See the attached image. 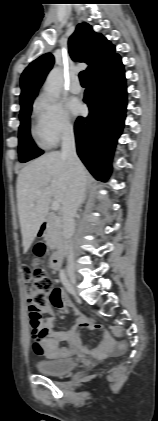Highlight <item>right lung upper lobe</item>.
Wrapping results in <instances>:
<instances>
[{"instance_id":"obj_1","label":"right lung upper lobe","mask_w":158,"mask_h":421,"mask_svg":"<svg viewBox=\"0 0 158 421\" xmlns=\"http://www.w3.org/2000/svg\"><path fill=\"white\" fill-rule=\"evenodd\" d=\"M69 53L74 61L88 64L87 73L92 75L102 69L117 55L115 47L100 33L92 30L87 23H81L69 38ZM54 63L52 54L47 53L34 60L21 76L20 104L33 101L47 73Z\"/></svg>"}]
</instances>
